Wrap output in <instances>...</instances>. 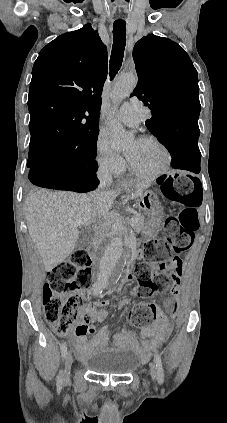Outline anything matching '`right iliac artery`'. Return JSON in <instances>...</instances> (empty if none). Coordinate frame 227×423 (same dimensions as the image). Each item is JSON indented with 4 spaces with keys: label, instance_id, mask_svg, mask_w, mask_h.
Wrapping results in <instances>:
<instances>
[{
    "label": "right iliac artery",
    "instance_id": "82829eb1",
    "mask_svg": "<svg viewBox=\"0 0 227 423\" xmlns=\"http://www.w3.org/2000/svg\"><path fill=\"white\" fill-rule=\"evenodd\" d=\"M102 289H103V285H96V286H94V288H93V290H94V293H101L102 292ZM61 354H62V357L64 358L65 356H66V354H67V346H66V343L65 342H63L62 344H61ZM56 384H57V388L58 389H61L62 388V385H63V378H62V374H61V372L59 373V375L57 376V379H56Z\"/></svg>",
    "mask_w": 227,
    "mask_h": 423
}]
</instances>
